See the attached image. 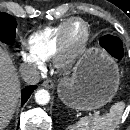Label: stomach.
Segmentation results:
<instances>
[{
  "instance_id": "1",
  "label": "stomach",
  "mask_w": 130,
  "mask_h": 130,
  "mask_svg": "<svg viewBox=\"0 0 130 130\" xmlns=\"http://www.w3.org/2000/svg\"><path fill=\"white\" fill-rule=\"evenodd\" d=\"M119 86L115 61L97 48L89 49L77 63L72 77L58 85L63 103L80 111L101 108L109 103Z\"/></svg>"
}]
</instances>
